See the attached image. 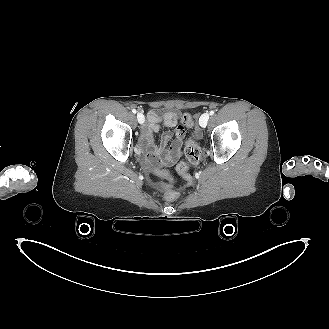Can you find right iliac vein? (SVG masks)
Segmentation results:
<instances>
[{"label": "right iliac vein", "mask_w": 329, "mask_h": 329, "mask_svg": "<svg viewBox=\"0 0 329 329\" xmlns=\"http://www.w3.org/2000/svg\"><path fill=\"white\" fill-rule=\"evenodd\" d=\"M137 120H138V122H139L140 124H143L144 121H145V117H144V115H143L142 113H138V114H137Z\"/></svg>", "instance_id": "63e3f726"}]
</instances>
